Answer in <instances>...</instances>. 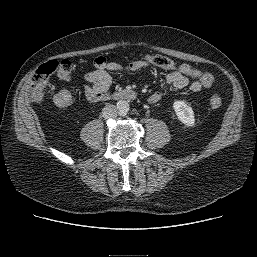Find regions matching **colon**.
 Listing matches in <instances>:
<instances>
[{
	"label": "colon",
	"mask_w": 257,
	"mask_h": 257,
	"mask_svg": "<svg viewBox=\"0 0 257 257\" xmlns=\"http://www.w3.org/2000/svg\"><path fill=\"white\" fill-rule=\"evenodd\" d=\"M143 59L149 61L154 66L165 70H177L185 76L199 81L204 87L210 88L215 83L212 74L202 72L188 64L177 65L171 59L162 55H145ZM51 76H55L62 83H69L72 80V65L68 60H50L41 65L34 73L31 84L27 90V95L32 101H41L43 92ZM72 101L71 95L67 91H61L54 97L55 105L66 107ZM211 108L217 109L222 105L219 94L214 93L209 98Z\"/></svg>",
	"instance_id": "obj_1"
}]
</instances>
